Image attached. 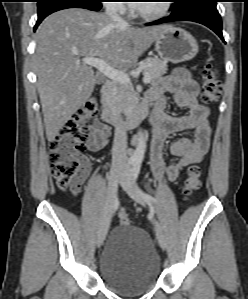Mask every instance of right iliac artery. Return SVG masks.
<instances>
[{"label":"right iliac artery","mask_w":248,"mask_h":299,"mask_svg":"<svg viewBox=\"0 0 248 299\" xmlns=\"http://www.w3.org/2000/svg\"><path fill=\"white\" fill-rule=\"evenodd\" d=\"M129 164H133L134 163V161L133 160H129V162H128Z\"/></svg>","instance_id":"1"}]
</instances>
